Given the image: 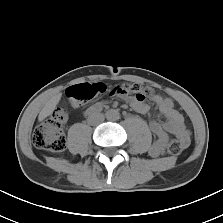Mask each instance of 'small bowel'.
I'll list each match as a JSON object with an SVG mask.
<instances>
[{
  "label": "small bowel",
  "mask_w": 223,
  "mask_h": 223,
  "mask_svg": "<svg viewBox=\"0 0 223 223\" xmlns=\"http://www.w3.org/2000/svg\"><path fill=\"white\" fill-rule=\"evenodd\" d=\"M165 99L160 95H154L151 100L157 105L160 115L165 119L164 122L151 120L150 129L155 135L149 153L152 156H160L165 152L171 137H176L183 146H187L190 142V133L184 124L183 116L174 108L165 106ZM130 106L138 113L145 114L149 111V105L143 100L137 99L135 96L126 97ZM104 106L103 102L92 105L89 110L100 111Z\"/></svg>",
  "instance_id": "small-bowel-1"
}]
</instances>
